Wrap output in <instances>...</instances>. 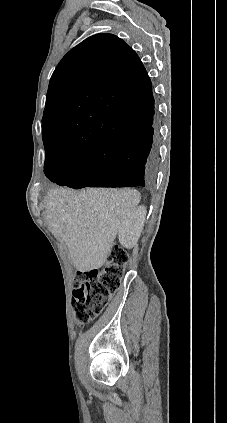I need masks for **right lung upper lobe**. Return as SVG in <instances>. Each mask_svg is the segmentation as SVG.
<instances>
[{"instance_id":"1","label":"right lung upper lobe","mask_w":227,"mask_h":423,"mask_svg":"<svg viewBox=\"0 0 227 423\" xmlns=\"http://www.w3.org/2000/svg\"><path fill=\"white\" fill-rule=\"evenodd\" d=\"M151 93L150 78L135 51L115 35H93L63 57L50 79L43 141L86 151L121 136L131 122L107 118L100 109L140 101Z\"/></svg>"}]
</instances>
